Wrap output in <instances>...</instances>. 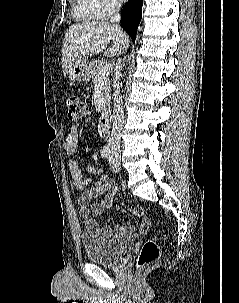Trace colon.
Masks as SVG:
<instances>
[{
    "instance_id": "5ec220e1",
    "label": "colon",
    "mask_w": 239,
    "mask_h": 303,
    "mask_svg": "<svg viewBox=\"0 0 239 303\" xmlns=\"http://www.w3.org/2000/svg\"><path fill=\"white\" fill-rule=\"evenodd\" d=\"M68 119L71 122L79 121L88 114V106L86 102L77 95H72L66 102ZM124 205V204H123ZM125 207L135 216L148 219L145 210L141 206H128ZM160 256V250L155 240H147L137 257V267L143 268L156 262Z\"/></svg>"
}]
</instances>
